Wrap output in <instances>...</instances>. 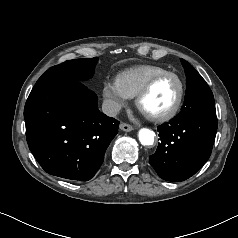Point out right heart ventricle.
Returning a JSON list of instances; mask_svg holds the SVG:
<instances>
[{
  "instance_id": "e07e8e85",
  "label": "right heart ventricle",
  "mask_w": 238,
  "mask_h": 238,
  "mask_svg": "<svg viewBox=\"0 0 238 238\" xmlns=\"http://www.w3.org/2000/svg\"><path fill=\"white\" fill-rule=\"evenodd\" d=\"M165 71L155 65H140L120 72L116 80L125 95L134 98L152 76Z\"/></svg>"
}]
</instances>
